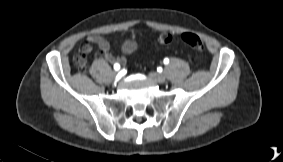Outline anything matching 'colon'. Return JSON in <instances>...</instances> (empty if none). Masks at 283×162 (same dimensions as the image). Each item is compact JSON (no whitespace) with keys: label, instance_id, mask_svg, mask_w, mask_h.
<instances>
[{"label":"colon","instance_id":"1","mask_svg":"<svg viewBox=\"0 0 283 162\" xmlns=\"http://www.w3.org/2000/svg\"><path fill=\"white\" fill-rule=\"evenodd\" d=\"M172 41L173 36L166 33L161 34L156 40V42L159 44H169ZM182 41L195 51L201 52L204 50L203 41L194 33L187 32L182 34ZM74 63L80 70H85L87 64L86 56L78 53L74 58Z\"/></svg>","mask_w":283,"mask_h":162}]
</instances>
